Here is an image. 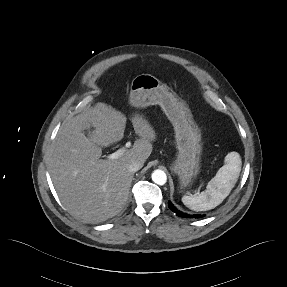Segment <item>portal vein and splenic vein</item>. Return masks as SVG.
Instances as JSON below:
<instances>
[{
	"label": "portal vein and splenic vein",
	"mask_w": 287,
	"mask_h": 287,
	"mask_svg": "<svg viewBox=\"0 0 287 287\" xmlns=\"http://www.w3.org/2000/svg\"><path fill=\"white\" fill-rule=\"evenodd\" d=\"M131 146V143L130 142H127L125 144V147H122L120 149H118L117 151H115L114 153L108 155V159L109 160H115L117 158H119L120 156H122L124 154V152L126 151V148H129Z\"/></svg>",
	"instance_id": "portal-vein-and-splenic-vein-1"
}]
</instances>
